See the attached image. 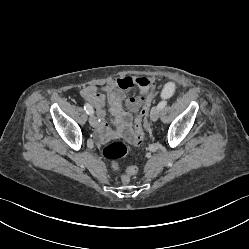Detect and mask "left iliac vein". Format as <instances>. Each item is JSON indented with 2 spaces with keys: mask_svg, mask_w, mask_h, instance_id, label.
Masks as SVG:
<instances>
[{
  "mask_svg": "<svg viewBox=\"0 0 249 249\" xmlns=\"http://www.w3.org/2000/svg\"><path fill=\"white\" fill-rule=\"evenodd\" d=\"M159 115H160V109L157 107H154L152 110H151V114H150V118L153 122L157 121L158 118H159Z\"/></svg>",
  "mask_w": 249,
  "mask_h": 249,
  "instance_id": "obj_1",
  "label": "left iliac vein"
}]
</instances>
